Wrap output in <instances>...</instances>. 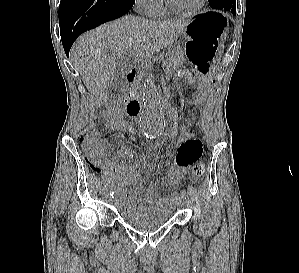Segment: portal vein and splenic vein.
I'll return each instance as SVG.
<instances>
[{
	"label": "portal vein and splenic vein",
	"instance_id": "obj_1",
	"mask_svg": "<svg viewBox=\"0 0 299 273\" xmlns=\"http://www.w3.org/2000/svg\"><path fill=\"white\" fill-rule=\"evenodd\" d=\"M119 56H124V54L123 53H119L118 54ZM138 62H140L141 61V59H136Z\"/></svg>",
	"mask_w": 299,
	"mask_h": 273
}]
</instances>
